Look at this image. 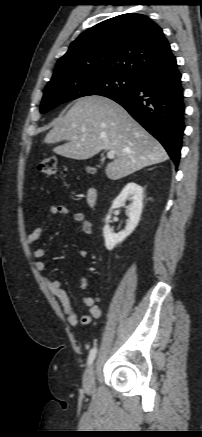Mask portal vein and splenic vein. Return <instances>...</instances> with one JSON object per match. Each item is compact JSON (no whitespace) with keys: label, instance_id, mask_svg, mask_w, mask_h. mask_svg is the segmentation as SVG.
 <instances>
[{"label":"portal vein and splenic vein","instance_id":"18ae733b","mask_svg":"<svg viewBox=\"0 0 202 437\" xmlns=\"http://www.w3.org/2000/svg\"><path fill=\"white\" fill-rule=\"evenodd\" d=\"M115 157V152L114 151H109L108 153H107V158H109V159H113Z\"/></svg>","mask_w":202,"mask_h":437}]
</instances>
